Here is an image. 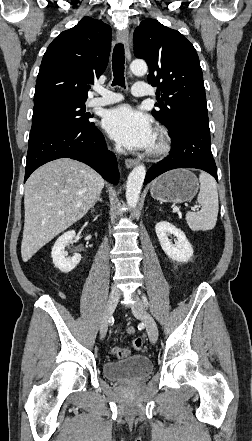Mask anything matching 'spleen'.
Here are the masks:
<instances>
[{
    "label": "spleen",
    "instance_id": "3e777b00",
    "mask_svg": "<svg viewBox=\"0 0 252 441\" xmlns=\"http://www.w3.org/2000/svg\"><path fill=\"white\" fill-rule=\"evenodd\" d=\"M200 192L197 197L201 205L199 212H187L186 221L193 231H207L215 227L218 216L217 185L212 176L205 172L199 175Z\"/></svg>",
    "mask_w": 252,
    "mask_h": 441
}]
</instances>
